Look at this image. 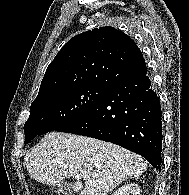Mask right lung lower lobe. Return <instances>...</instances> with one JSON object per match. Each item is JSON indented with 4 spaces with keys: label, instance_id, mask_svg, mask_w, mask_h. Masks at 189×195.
Listing matches in <instances>:
<instances>
[{
    "label": "right lung lower lobe",
    "instance_id": "1",
    "mask_svg": "<svg viewBox=\"0 0 189 195\" xmlns=\"http://www.w3.org/2000/svg\"><path fill=\"white\" fill-rule=\"evenodd\" d=\"M56 131L112 142L161 168V106L147 70L112 88L88 112Z\"/></svg>",
    "mask_w": 189,
    "mask_h": 195
}]
</instances>
